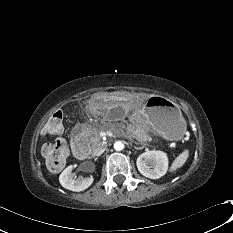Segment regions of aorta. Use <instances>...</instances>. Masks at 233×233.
<instances>
[{"label":"aorta","instance_id":"obj_1","mask_svg":"<svg viewBox=\"0 0 233 233\" xmlns=\"http://www.w3.org/2000/svg\"><path fill=\"white\" fill-rule=\"evenodd\" d=\"M123 148H124V144L121 141H116L114 143V149L116 151H121V150H123Z\"/></svg>","mask_w":233,"mask_h":233}]
</instances>
